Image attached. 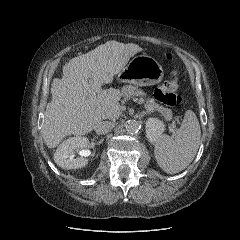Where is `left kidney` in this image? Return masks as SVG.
I'll use <instances>...</instances> for the list:
<instances>
[{"label":"left kidney","instance_id":"1","mask_svg":"<svg viewBox=\"0 0 240 240\" xmlns=\"http://www.w3.org/2000/svg\"><path fill=\"white\" fill-rule=\"evenodd\" d=\"M165 130V124L158 118L150 117L146 121V136L151 143H156Z\"/></svg>","mask_w":240,"mask_h":240}]
</instances>
